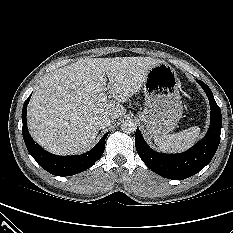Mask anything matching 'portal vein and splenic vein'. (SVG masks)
<instances>
[{
	"instance_id": "1",
	"label": "portal vein and splenic vein",
	"mask_w": 233,
	"mask_h": 233,
	"mask_svg": "<svg viewBox=\"0 0 233 233\" xmlns=\"http://www.w3.org/2000/svg\"><path fill=\"white\" fill-rule=\"evenodd\" d=\"M99 98H100L101 101H106V99H107L106 93L105 92L100 93Z\"/></svg>"
}]
</instances>
